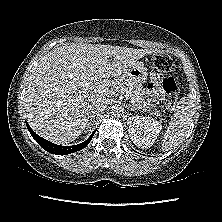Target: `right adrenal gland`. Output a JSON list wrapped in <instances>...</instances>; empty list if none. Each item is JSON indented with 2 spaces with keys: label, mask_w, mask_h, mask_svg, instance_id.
<instances>
[{
  "label": "right adrenal gland",
  "mask_w": 222,
  "mask_h": 222,
  "mask_svg": "<svg viewBox=\"0 0 222 222\" xmlns=\"http://www.w3.org/2000/svg\"><path fill=\"white\" fill-rule=\"evenodd\" d=\"M89 117H90V122H89V124H88V127H89V126L91 125V123L93 122L92 119L95 118V115H90Z\"/></svg>",
  "instance_id": "1"
}]
</instances>
